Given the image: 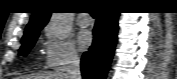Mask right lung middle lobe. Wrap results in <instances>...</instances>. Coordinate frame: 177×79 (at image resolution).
<instances>
[{"instance_id":"1","label":"right lung middle lobe","mask_w":177,"mask_h":79,"mask_svg":"<svg viewBox=\"0 0 177 79\" xmlns=\"http://www.w3.org/2000/svg\"><path fill=\"white\" fill-rule=\"evenodd\" d=\"M39 36V31L32 33L29 37L22 40V46L19 50L20 55H27V53L30 51V49L33 47L34 43L36 42V39Z\"/></svg>"}]
</instances>
